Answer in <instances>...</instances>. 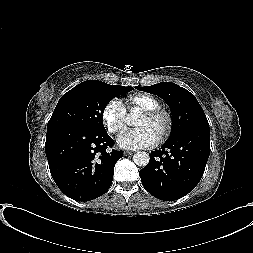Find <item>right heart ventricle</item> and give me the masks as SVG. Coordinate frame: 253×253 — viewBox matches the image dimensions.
<instances>
[{
	"label": "right heart ventricle",
	"mask_w": 253,
	"mask_h": 253,
	"mask_svg": "<svg viewBox=\"0 0 253 253\" xmlns=\"http://www.w3.org/2000/svg\"><path fill=\"white\" fill-rule=\"evenodd\" d=\"M126 106L130 113L160 108L159 100L147 93H135L126 98Z\"/></svg>",
	"instance_id": "obj_1"
}]
</instances>
